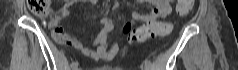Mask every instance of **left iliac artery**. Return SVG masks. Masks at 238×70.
Instances as JSON below:
<instances>
[{"instance_id":"obj_1","label":"left iliac artery","mask_w":238,"mask_h":70,"mask_svg":"<svg viewBox=\"0 0 238 70\" xmlns=\"http://www.w3.org/2000/svg\"><path fill=\"white\" fill-rule=\"evenodd\" d=\"M144 63H145V66L148 67V68H152L153 67V64L149 60H145Z\"/></svg>"}]
</instances>
